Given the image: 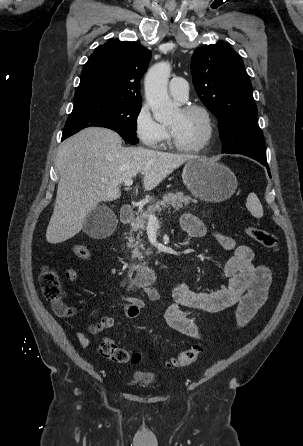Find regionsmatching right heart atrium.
<instances>
[{"mask_svg": "<svg viewBox=\"0 0 303 446\" xmlns=\"http://www.w3.org/2000/svg\"><path fill=\"white\" fill-rule=\"evenodd\" d=\"M134 131L139 141L148 148H159L167 139V130L151 113L149 106L142 103L134 117Z\"/></svg>", "mask_w": 303, "mask_h": 446, "instance_id": "1", "label": "right heart atrium"}]
</instances>
